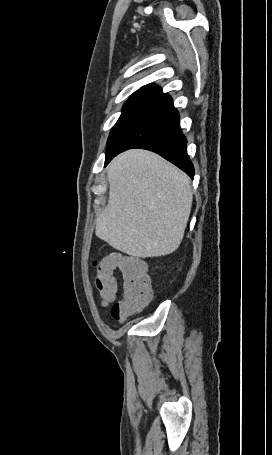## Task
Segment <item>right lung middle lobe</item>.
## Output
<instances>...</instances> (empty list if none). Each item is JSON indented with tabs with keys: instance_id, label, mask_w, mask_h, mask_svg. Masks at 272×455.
I'll return each mask as SVG.
<instances>
[{
	"instance_id": "dd1d6c3e",
	"label": "right lung middle lobe",
	"mask_w": 272,
	"mask_h": 455,
	"mask_svg": "<svg viewBox=\"0 0 272 455\" xmlns=\"http://www.w3.org/2000/svg\"><path fill=\"white\" fill-rule=\"evenodd\" d=\"M165 106L164 103L152 101L130 100L125 102L122 114L110 132L107 152L130 130L159 112Z\"/></svg>"
}]
</instances>
